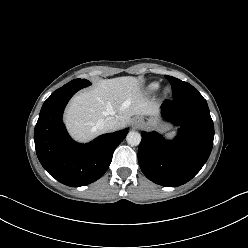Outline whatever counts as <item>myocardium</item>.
Here are the masks:
<instances>
[{
  "mask_svg": "<svg viewBox=\"0 0 248 248\" xmlns=\"http://www.w3.org/2000/svg\"><path fill=\"white\" fill-rule=\"evenodd\" d=\"M168 93V90H165V94H167Z\"/></svg>",
  "mask_w": 248,
  "mask_h": 248,
  "instance_id": "obj_1",
  "label": "myocardium"
}]
</instances>
